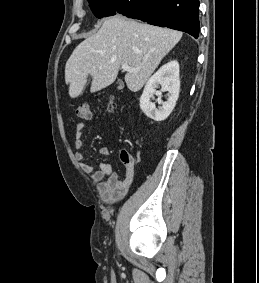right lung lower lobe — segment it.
I'll list each match as a JSON object with an SVG mask.
<instances>
[{"instance_id": "1", "label": "right lung lower lobe", "mask_w": 259, "mask_h": 283, "mask_svg": "<svg viewBox=\"0 0 259 283\" xmlns=\"http://www.w3.org/2000/svg\"><path fill=\"white\" fill-rule=\"evenodd\" d=\"M112 15L119 13L152 25L199 35V0H108Z\"/></svg>"}]
</instances>
